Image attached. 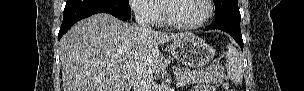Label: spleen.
<instances>
[{
    "label": "spleen",
    "mask_w": 304,
    "mask_h": 91,
    "mask_svg": "<svg viewBox=\"0 0 304 91\" xmlns=\"http://www.w3.org/2000/svg\"><path fill=\"white\" fill-rule=\"evenodd\" d=\"M227 77L235 84L243 81V60L236 47L229 44L226 52Z\"/></svg>",
    "instance_id": "1"
}]
</instances>
